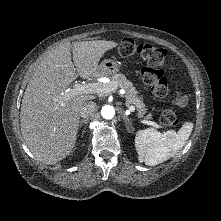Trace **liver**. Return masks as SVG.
<instances>
[{
	"instance_id": "1",
	"label": "liver",
	"mask_w": 221,
	"mask_h": 221,
	"mask_svg": "<svg viewBox=\"0 0 221 221\" xmlns=\"http://www.w3.org/2000/svg\"><path fill=\"white\" fill-rule=\"evenodd\" d=\"M117 45L105 40L66 42L40 61L22 99L20 122L27 147L42 163L56 164L72 152L80 108L95 96L80 94L67 99L64 93L78 76L97 75L100 59Z\"/></svg>"
}]
</instances>
